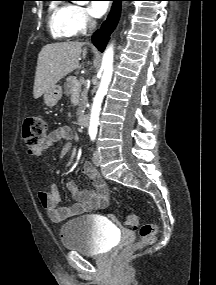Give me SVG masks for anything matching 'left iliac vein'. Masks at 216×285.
I'll list each match as a JSON object with an SVG mask.
<instances>
[{
	"instance_id": "obj_1",
	"label": "left iliac vein",
	"mask_w": 216,
	"mask_h": 285,
	"mask_svg": "<svg viewBox=\"0 0 216 285\" xmlns=\"http://www.w3.org/2000/svg\"><path fill=\"white\" fill-rule=\"evenodd\" d=\"M93 163L96 166H99L101 164V158H100V153L98 150H96L93 154Z\"/></svg>"
}]
</instances>
